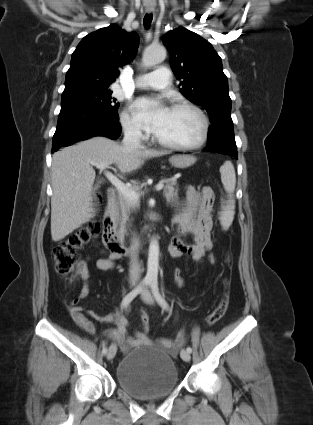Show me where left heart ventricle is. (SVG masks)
I'll use <instances>...</instances> for the list:
<instances>
[{
	"mask_svg": "<svg viewBox=\"0 0 313 425\" xmlns=\"http://www.w3.org/2000/svg\"><path fill=\"white\" fill-rule=\"evenodd\" d=\"M201 134V121L192 111L170 109L168 116L156 135L175 144L195 143Z\"/></svg>",
	"mask_w": 313,
	"mask_h": 425,
	"instance_id": "1",
	"label": "left heart ventricle"
}]
</instances>
